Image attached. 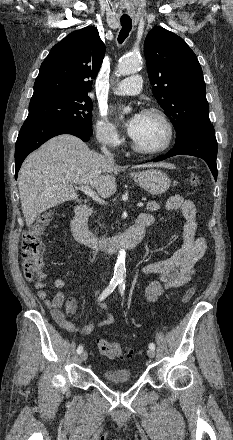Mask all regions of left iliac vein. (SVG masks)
Here are the masks:
<instances>
[{
    "label": "left iliac vein",
    "mask_w": 233,
    "mask_h": 440,
    "mask_svg": "<svg viewBox=\"0 0 233 440\" xmlns=\"http://www.w3.org/2000/svg\"><path fill=\"white\" fill-rule=\"evenodd\" d=\"M147 355H148V357H150V358H154L155 357V351H154V349H148L147 350Z\"/></svg>",
    "instance_id": "left-iliac-vein-1"
}]
</instances>
